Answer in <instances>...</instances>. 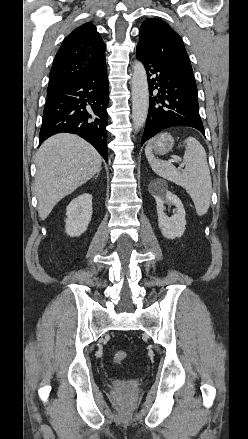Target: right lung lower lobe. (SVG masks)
<instances>
[{
	"label": "right lung lower lobe",
	"mask_w": 248,
	"mask_h": 439,
	"mask_svg": "<svg viewBox=\"0 0 248 439\" xmlns=\"http://www.w3.org/2000/svg\"><path fill=\"white\" fill-rule=\"evenodd\" d=\"M108 102L106 65L48 92L39 145L54 134L73 133L90 142L108 162Z\"/></svg>",
	"instance_id": "right-lung-lower-lobe-1"
}]
</instances>
